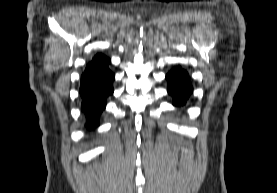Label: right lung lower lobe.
Returning <instances> with one entry per match:
<instances>
[{"instance_id": "obj_1", "label": "right lung lower lobe", "mask_w": 277, "mask_h": 193, "mask_svg": "<svg viewBox=\"0 0 277 193\" xmlns=\"http://www.w3.org/2000/svg\"><path fill=\"white\" fill-rule=\"evenodd\" d=\"M110 60L96 55L81 76V110L85 113L88 129L99 124V115L106 106V98L113 93L114 74L109 70Z\"/></svg>"}]
</instances>
